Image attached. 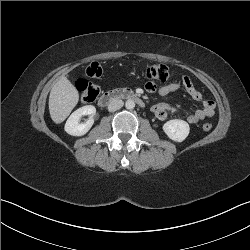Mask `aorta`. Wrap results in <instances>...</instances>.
Masks as SVG:
<instances>
[{"label":"aorta","instance_id":"aorta-1","mask_svg":"<svg viewBox=\"0 0 250 250\" xmlns=\"http://www.w3.org/2000/svg\"><path fill=\"white\" fill-rule=\"evenodd\" d=\"M125 107L129 110H132L134 109L135 107V102L132 100V99H128L126 102H125Z\"/></svg>","mask_w":250,"mask_h":250}]
</instances>
